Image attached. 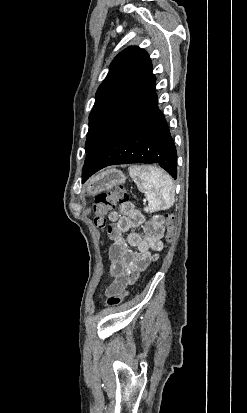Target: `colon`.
Listing matches in <instances>:
<instances>
[{"label": "colon", "instance_id": "obj_1", "mask_svg": "<svg viewBox=\"0 0 247 413\" xmlns=\"http://www.w3.org/2000/svg\"><path fill=\"white\" fill-rule=\"evenodd\" d=\"M125 206L131 205V200L127 199V195L125 194L124 190L119 188L115 192H101L96 195L95 202L93 205V212H94V223L97 227H106L107 220L105 217L107 207L114 206L119 203H123ZM166 225V233L164 235V246L166 247L172 237V232L174 228V219L171 215H168L165 219ZM108 227V226H107ZM115 240V239H113ZM127 296V293H121L120 298H107L105 301V306L110 308L118 307L122 300Z\"/></svg>", "mask_w": 247, "mask_h": 413}]
</instances>
